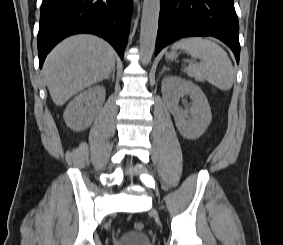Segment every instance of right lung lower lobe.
Here are the masks:
<instances>
[{
	"instance_id": "obj_1",
	"label": "right lung lower lobe",
	"mask_w": 283,
	"mask_h": 245,
	"mask_svg": "<svg viewBox=\"0 0 283 245\" xmlns=\"http://www.w3.org/2000/svg\"><path fill=\"white\" fill-rule=\"evenodd\" d=\"M132 9V0H43L37 40L40 68L58 42L77 33L104 38L123 58Z\"/></svg>"
}]
</instances>
